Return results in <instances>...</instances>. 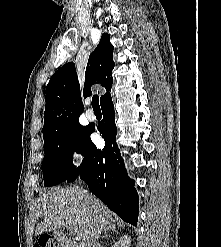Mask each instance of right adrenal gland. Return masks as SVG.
I'll return each instance as SVG.
<instances>
[{
  "label": "right adrenal gland",
  "instance_id": "2a0ac1e0",
  "mask_svg": "<svg viewBox=\"0 0 221 247\" xmlns=\"http://www.w3.org/2000/svg\"><path fill=\"white\" fill-rule=\"evenodd\" d=\"M115 232V226H109L108 228H106L105 230H104V235L105 236H107V234H108V232ZM104 236H103V234H101L98 238H103Z\"/></svg>",
  "mask_w": 221,
  "mask_h": 247
}]
</instances>
